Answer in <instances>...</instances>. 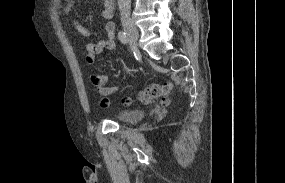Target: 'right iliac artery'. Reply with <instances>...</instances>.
<instances>
[{
    "label": "right iliac artery",
    "mask_w": 285,
    "mask_h": 183,
    "mask_svg": "<svg viewBox=\"0 0 285 183\" xmlns=\"http://www.w3.org/2000/svg\"><path fill=\"white\" fill-rule=\"evenodd\" d=\"M118 38L123 44H127L129 41V38L125 32L120 31L118 33Z\"/></svg>",
    "instance_id": "82829eb1"
}]
</instances>
